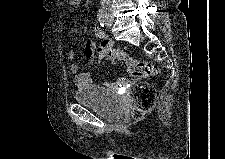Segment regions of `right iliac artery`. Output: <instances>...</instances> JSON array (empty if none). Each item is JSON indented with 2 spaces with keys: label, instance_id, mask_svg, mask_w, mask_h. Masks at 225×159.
Listing matches in <instances>:
<instances>
[{
  "label": "right iliac artery",
  "instance_id": "82829eb1",
  "mask_svg": "<svg viewBox=\"0 0 225 159\" xmlns=\"http://www.w3.org/2000/svg\"><path fill=\"white\" fill-rule=\"evenodd\" d=\"M97 19L102 27L106 25V12L105 9L101 8L98 10Z\"/></svg>",
  "mask_w": 225,
  "mask_h": 159
}]
</instances>
